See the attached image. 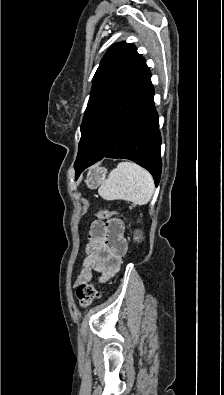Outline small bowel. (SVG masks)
I'll list each match as a JSON object with an SVG mask.
<instances>
[{
	"label": "small bowel",
	"instance_id": "obj_1",
	"mask_svg": "<svg viewBox=\"0 0 224 395\" xmlns=\"http://www.w3.org/2000/svg\"><path fill=\"white\" fill-rule=\"evenodd\" d=\"M118 226L115 232L112 227ZM127 251V241L124 236V226L118 219L108 223L100 220L92 222L89 232V242L86 246V257L80 270L76 284L88 282L92 270L102 274L103 279L113 275L120 267L121 257Z\"/></svg>",
	"mask_w": 224,
	"mask_h": 395
}]
</instances>
